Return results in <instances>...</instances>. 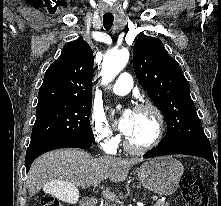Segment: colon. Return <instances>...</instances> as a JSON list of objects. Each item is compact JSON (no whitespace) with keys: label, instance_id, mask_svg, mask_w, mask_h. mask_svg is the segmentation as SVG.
Here are the masks:
<instances>
[{"label":"colon","instance_id":"1","mask_svg":"<svg viewBox=\"0 0 221 206\" xmlns=\"http://www.w3.org/2000/svg\"><path fill=\"white\" fill-rule=\"evenodd\" d=\"M181 188L186 206H208L209 199L201 180L191 173H185L181 177ZM41 206H62V204L51 196L41 199Z\"/></svg>","mask_w":221,"mask_h":206}]
</instances>
